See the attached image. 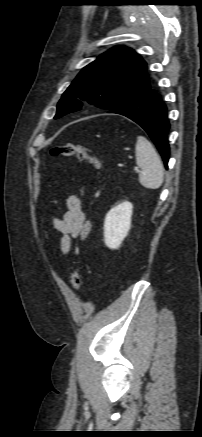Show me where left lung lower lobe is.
<instances>
[{
    "label": "left lung lower lobe",
    "instance_id": "1",
    "mask_svg": "<svg viewBox=\"0 0 202 437\" xmlns=\"http://www.w3.org/2000/svg\"><path fill=\"white\" fill-rule=\"evenodd\" d=\"M166 112V106L160 95L151 87L108 111V113L126 116L139 124L156 145L167 168L170 151L168 144L170 124Z\"/></svg>",
    "mask_w": 202,
    "mask_h": 437
}]
</instances>
